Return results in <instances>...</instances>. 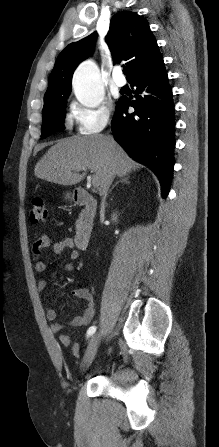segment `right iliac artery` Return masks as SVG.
<instances>
[{"instance_id":"82829eb1","label":"right iliac artery","mask_w":219,"mask_h":447,"mask_svg":"<svg viewBox=\"0 0 219 447\" xmlns=\"http://www.w3.org/2000/svg\"><path fill=\"white\" fill-rule=\"evenodd\" d=\"M96 331V326H91L88 330H87V337H90L91 335H93Z\"/></svg>"}]
</instances>
